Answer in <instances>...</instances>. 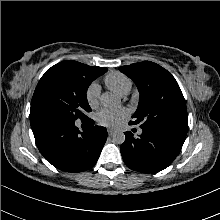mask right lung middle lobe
Listing matches in <instances>:
<instances>
[{
	"label": "right lung middle lobe",
	"mask_w": 220,
	"mask_h": 220,
	"mask_svg": "<svg viewBox=\"0 0 220 220\" xmlns=\"http://www.w3.org/2000/svg\"><path fill=\"white\" fill-rule=\"evenodd\" d=\"M106 67H91L77 61H63L49 68L35 89L30 113H43L67 121L85 120L90 112L86 92Z\"/></svg>",
	"instance_id": "dd1d6c3e"
}]
</instances>
